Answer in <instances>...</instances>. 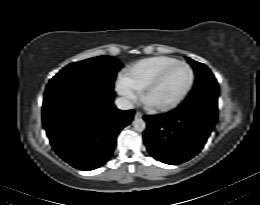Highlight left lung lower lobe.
I'll return each mask as SVG.
<instances>
[{
	"mask_svg": "<svg viewBox=\"0 0 260 205\" xmlns=\"http://www.w3.org/2000/svg\"><path fill=\"white\" fill-rule=\"evenodd\" d=\"M218 111L204 104H182L161 115L144 116V143L150 154L166 164H180L204 146Z\"/></svg>",
	"mask_w": 260,
	"mask_h": 205,
	"instance_id": "obj_1",
	"label": "left lung lower lobe"
}]
</instances>
